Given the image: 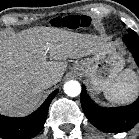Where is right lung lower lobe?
<instances>
[{
  "instance_id": "right-lung-lower-lobe-1",
  "label": "right lung lower lobe",
  "mask_w": 139,
  "mask_h": 139,
  "mask_svg": "<svg viewBox=\"0 0 139 139\" xmlns=\"http://www.w3.org/2000/svg\"><path fill=\"white\" fill-rule=\"evenodd\" d=\"M55 90L46 101L32 114L22 118H11L0 115V137L2 139H30L42 129L50 102L56 96Z\"/></svg>"
}]
</instances>
